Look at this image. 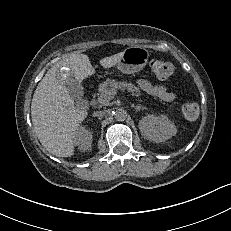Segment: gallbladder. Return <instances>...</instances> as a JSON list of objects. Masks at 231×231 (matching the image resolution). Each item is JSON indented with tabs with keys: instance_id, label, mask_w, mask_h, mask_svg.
Wrapping results in <instances>:
<instances>
[{
	"instance_id": "bac80fb5",
	"label": "gallbladder",
	"mask_w": 231,
	"mask_h": 231,
	"mask_svg": "<svg viewBox=\"0 0 231 231\" xmlns=\"http://www.w3.org/2000/svg\"><path fill=\"white\" fill-rule=\"evenodd\" d=\"M55 77L60 85L68 89L70 96L78 98L83 95L81 83L75 79L73 71L67 66H61L56 70Z\"/></svg>"
}]
</instances>
